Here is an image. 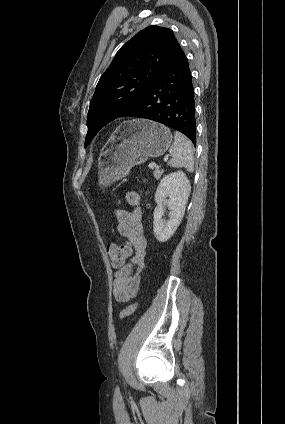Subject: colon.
<instances>
[{"mask_svg":"<svg viewBox=\"0 0 285 424\" xmlns=\"http://www.w3.org/2000/svg\"><path fill=\"white\" fill-rule=\"evenodd\" d=\"M107 252L114 266H120L128 257L130 248L127 244L112 243L107 247ZM136 309V304H131L126 307L120 314L121 319H126L131 316Z\"/></svg>","mask_w":285,"mask_h":424,"instance_id":"colon-1","label":"colon"}]
</instances>
